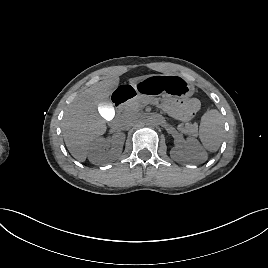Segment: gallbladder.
<instances>
[{
	"label": "gallbladder",
	"mask_w": 268,
	"mask_h": 268,
	"mask_svg": "<svg viewBox=\"0 0 268 268\" xmlns=\"http://www.w3.org/2000/svg\"><path fill=\"white\" fill-rule=\"evenodd\" d=\"M97 110H98L99 114L107 120L114 118V116L116 114L114 107L111 105V103H109L107 101L100 102L98 107H97Z\"/></svg>",
	"instance_id": "gallbladder-1"
}]
</instances>
